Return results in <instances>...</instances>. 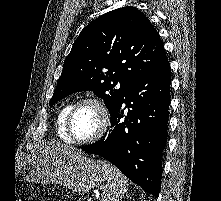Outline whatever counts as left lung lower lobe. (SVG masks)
<instances>
[{"mask_svg": "<svg viewBox=\"0 0 221 201\" xmlns=\"http://www.w3.org/2000/svg\"><path fill=\"white\" fill-rule=\"evenodd\" d=\"M170 84L169 61L165 56L134 84L112 113L108 137L82 148L110 161L156 198L161 188V160L167 141ZM124 103L128 112L122 122Z\"/></svg>", "mask_w": 221, "mask_h": 201, "instance_id": "obj_1", "label": "left lung lower lobe"}]
</instances>
